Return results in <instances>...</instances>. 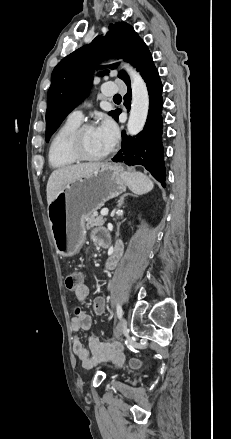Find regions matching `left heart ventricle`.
Masks as SVG:
<instances>
[{"mask_svg": "<svg viewBox=\"0 0 231 439\" xmlns=\"http://www.w3.org/2000/svg\"><path fill=\"white\" fill-rule=\"evenodd\" d=\"M83 150L92 156H98L108 151L106 145L98 136L96 129L86 130L81 139Z\"/></svg>", "mask_w": 231, "mask_h": 439, "instance_id": "left-heart-ventricle-1", "label": "left heart ventricle"}]
</instances>
